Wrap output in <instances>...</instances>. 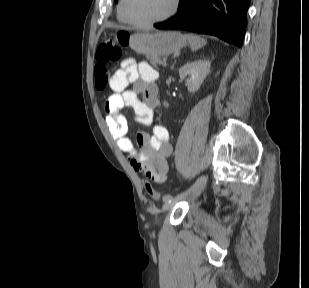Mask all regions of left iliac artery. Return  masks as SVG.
Masks as SVG:
<instances>
[{
    "mask_svg": "<svg viewBox=\"0 0 309 288\" xmlns=\"http://www.w3.org/2000/svg\"><path fill=\"white\" fill-rule=\"evenodd\" d=\"M188 193H189V189L186 190V191H184L183 193L179 194V195L176 197V199H184V198L188 195ZM171 199H173V197L170 196V195H166V196L163 198L164 201H170Z\"/></svg>",
    "mask_w": 309,
    "mask_h": 288,
    "instance_id": "1",
    "label": "left iliac artery"
}]
</instances>
